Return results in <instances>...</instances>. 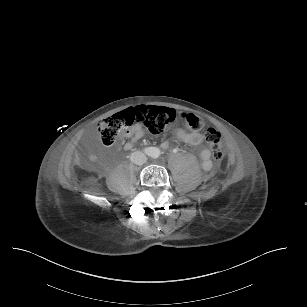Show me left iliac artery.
I'll return each instance as SVG.
<instances>
[{
	"mask_svg": "<svg viewBox=\"0 0 307 307\" xmlns=\"http://www.w3.org/2000/svg\"><path fill=\"white\" fill-rule=\"evenodd\" d=\"M150 157L156 159L160 156V151L157 150L156 148L153 149V151L149 155Z\"/></svg>",
	"mask_w": 307,
	"mask_h": 307,
	"instance_id": "left-iliac-artery-1",
	"label": "left iliac artery"
}]
</instances>
